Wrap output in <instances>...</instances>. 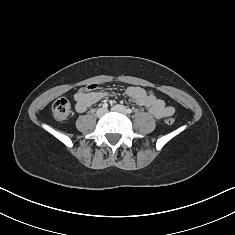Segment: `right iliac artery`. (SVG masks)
Listing matches in <instances>:
<instances>
[{
    "label": "right iliac artery",
    "instance_id": "right-iliac-artery-1",
    "mask_svg": "<svg viewBox=\"0 0 235 235\" xmlns=\"http://www.w3.org/2000/svg\"><path fill=\"white\" fill-rule=\"evenodd\" d=\"M103 108H104V109H107V108H108V104H107V103H104V104H103Z\"/></svg>",
    "mask_w": 235,
    "mask_h": 235
}]
</instances>
